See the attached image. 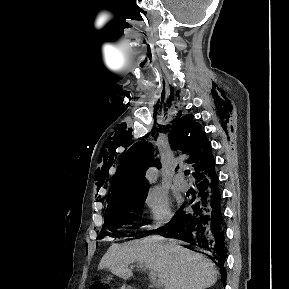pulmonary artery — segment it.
Masks as SVG:
<instances>
[{
	"instance_id": "e3ab8cb5",
	"label": "pulmonary artery",
	"mask_w": 289,
	"mask_h": 289,
	"mask_svg": "<svg viewBox=\"0 0 289 289\" xmlns=\"http://www.w3.org/2000/svg\"><path fill=\"white\" fill-rule=\"evenodd\" d=\"M174 185L177 189L181 190V191H185L188 189V183L187 181L184 179L182 174H176L174 177Z\"/></svg>"
}]
</instances>
